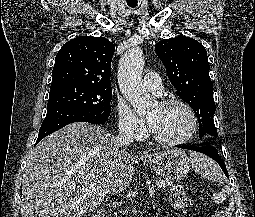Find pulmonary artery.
Masks as SVG:
<instances>
[{
	"instance_id": "pulmonary-artery-1",
	"label": "pulmonary artery",
	"mask_w": 255,
	"mask_h": 217,
	"mask_svg": "<svg viewBox=\"0 0 255 217\" xmlns=\"http://www.w3.org/2000/svg\"><path fill=\"white\" fill-rule=\"evenodd\" d=\"M143 84L145 89L157 94H161L163 91L162 79L158 73L149 72L144 76Z\"/></svg>"
}]
</instances>
